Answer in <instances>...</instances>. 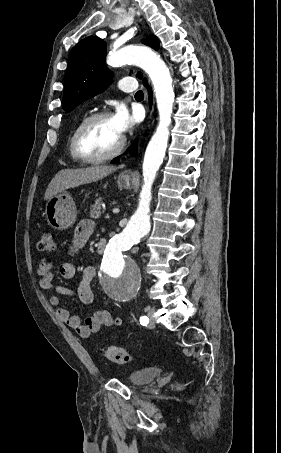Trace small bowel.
<instances>
[{
	"label": "small bowel",
	"instance_id": "1",
	"mask_svg": "<svg viewBox=\"0 0 281 453\" xmlns=\"http://www.w3.org/2000/svg\"><path fill=\"white\" fill-rule=\"evenodd\" d=\"M95 229L94 222L91 220H82L78 223L74 239L70 247V256H76L80 250L87 244ZM106 242L103 239L98 240L96 250L103 252ZM53 262L48 258H43L36 267V275L39 280V285L44 290L55 288L61 295L71 298H78L82 303L88 304L93 300L91 290V281L95 275V267L86 266L82 272V277L76 289H72L62 285H54L53 283ZM77 274L75 265L68 260L60 266V275L62 278H74ZM50 303L58 309V316L62 322L69 325L70 328L84 339L92 337L97 333L102 326L115 327L122 325L120 316H113L107 311L98 310L87 319L83 324L78 315L73 314L69 309L63 307L62 299L59 295L53 294L50 296Z\"/></svg>",
	"mask_w": 281,
	"mask_h": 453
}]
</instances>
